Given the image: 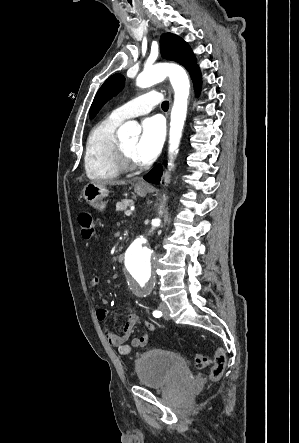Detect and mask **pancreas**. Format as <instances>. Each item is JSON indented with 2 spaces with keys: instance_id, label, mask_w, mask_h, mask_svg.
I'll return each instance as SVG.
<instances>
[{
  "instance_id": "1",
  "label": "pancreas",
  "mask_w": 299,
  "mask_h": 443,
  "mask_svg": "<svg viewBox=\"0 0 299 443\" xmlns=\"http://www.w3.org/2000/svg\"><path fill=\"white\" fill-rule=\"evenodd\" d=\"M134 204L133 200L130 199H123L121 200V202H117L116 204V210L117 211H123L125 210L127 207L131 206Z\"/></svg>"
}]
</instances>
